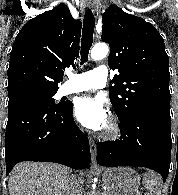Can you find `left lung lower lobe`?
<instances>
[{
  "mask_svg": "<svg viewBox=\"0 0 178 195\" xmlns=\"http://www.w3.org/2000/svg\"><path fill=\"white\" fill-rule=\"evenodd\" d=\"M171 119L137 114L120 121V140L99 142L97 162L102 166L147 167L167 179L171 162Z\"/></svg>",
  "mask_w": 178,
  "mask_h": 195,
  "instance_id": "0a47b994",
  "label": "left lung lower lobe"
}]
</instances>
